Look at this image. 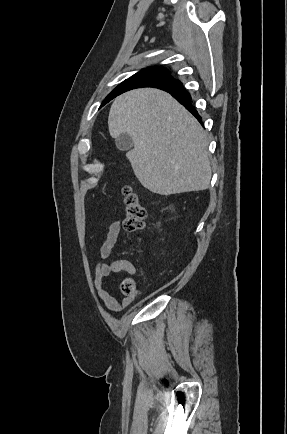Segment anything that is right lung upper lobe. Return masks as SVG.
Returning <instances> with one entry per match:
<instances>
[{
    "mask_svg": "<svg viewBox=\"0 0 287 434\" xmlns=\"http://www.w3.org/2000/svg\"><path fill=\"white\" fill-rule=\"evenodd\" d=\"M150 69H159V70H164V71H167L166 69H164V68H161V67H152V68H150ZM168 72V71H167ZM173 82H175V80L174 79H171V80H169V81H166V82H163V83H158V84H152V85H149V86H147V87H156V88H160V87H165L166 85H168V84H170V83H173ZM136 88H139V87H136ZM131 89H135V88H131ZM131 89H128V90H131ZM127 90V91H128ZM126 92V91H125Z\"/></svg>",
    "mask_w": 287,
    "mask_h": 434,
    "instance_id": "1",
    "label": "right lung upper lobe"
}]
</instances>
